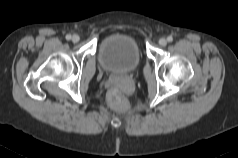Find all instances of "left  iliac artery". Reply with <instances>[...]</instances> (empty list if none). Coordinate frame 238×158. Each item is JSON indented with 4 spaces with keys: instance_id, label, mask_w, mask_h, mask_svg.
Masks as SVG:
<instances>
[{
    "instance_id": "left-iliac-artery-1",
    "label": "left iliac artery",
    "mask_w": 238,
    "mask_h": 158,
    "mask_svg": "<svg viewBox=\"0 0 238 158\" xmlns=\"http://www.w3.org/2000/svg\"><path fill=\"white\" fill-rule=\"evenodd\" d=\"M167 40H168V42H172L173 41V37L172 36H168Z\"/></svg>"
}]
</instances>
